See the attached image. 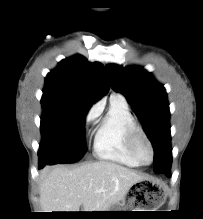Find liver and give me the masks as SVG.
Here are the masks:
<instances>
[{"label":"liver","instance_id":"liver-1","mask_svg":"<svg viewBox=\"0 0 203 219\" xmlns=\"http://www.w3.org/2000/svg\"><path fill=\"white\" fill-rule=\"evenodd\" d=\"M147 179L110 161L69 168L47 166L40 175V205L44 212L107 211L123 201L130 188Z\"/></svg>","mask_w":203,"mask_h":219}]
</instances>
